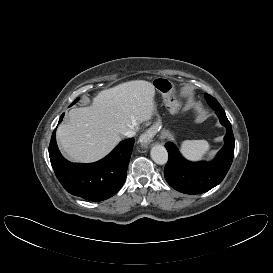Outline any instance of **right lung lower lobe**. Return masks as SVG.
I'll return each instance as SVG.
<instances>
[{
    "label": "right lung lower lobe",
    "mask_w": 273,
    "mask_h": 273,
    "mask_svg": "<svg viewBox=\"0 0 273 273\" xmlns=\"http://www.w3.org/2000/svg\"><path fill=\"white\" fill-rule=\"evenodd\" d=\"M61 115L58 124L62 121ZM56 129L49 157L56 177L72 195L90 201H102L115 195L123 186L134 139L123 140L108 156L91 164L71 163L62 157L56 143Z\"/></svg>",
    "instance_id": "1"
}]
</instances>
